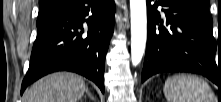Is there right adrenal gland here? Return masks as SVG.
Instances as JSON below:
<instances>
[{"label":"right adrenal gland","mask_w":221,"mask_h":102,"mask_svg":"<svg viewBox=\"0 0 221 102\" xmlns=\"http://www.w3.org/2000/svg\"><path fill=\"white\" fill-rule=\"evenodd\" d=\"M86 95H88L92 100H94V96L89 92V90H86Z\"/></svg>","instance_id":"obj_1"}]
</instances>
